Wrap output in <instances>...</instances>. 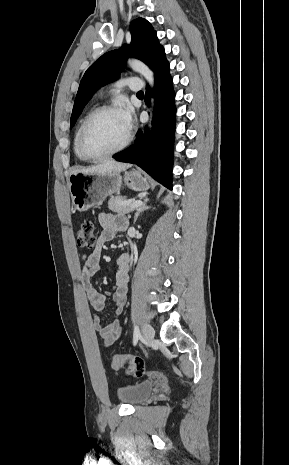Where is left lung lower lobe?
I'll return each instance as SVG.
<instances>
[{
  "mask_svg": "<svg viewBox=\"0 0 289 465\" xmlns=\"http://www.w3.org/2000/svg\"><path fill=\"white\" fill-rule=\"evenodd\" d=\"M156 106L154 129L145 134L138 131L134 145L113 156L121 162L136 164L165 187L172 189V143L175 126V93L168 73L155 80L153 90ZM151 90L148 87L145 101L149 104Z\"/></svg>",
  "mask_w": 289,
  "mask_h": 465,
  "instance_id": "left-lung-lower-lobe-1",
  "label": "left lung lower lobe"
}]
</instances>
